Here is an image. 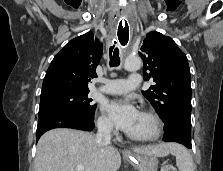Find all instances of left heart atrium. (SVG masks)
Instances as JSON below:
<instances>
[{"instance_id": "39dd6f15", "label": "left heart atrium", "mask_w": 223, "mask_h": 171, "mask_svg": "<svg viewBox=\"0 0 223 171\" xmlns=\"http://www.w3.org/2000/svg\"><path fill=\"white\" fill-rule=\"evenodd\" d=\"M103 109L115 126L127 133L131 130L140 114L129 100L108 101L104 104Z\"/></svg>"}]
</instances>
